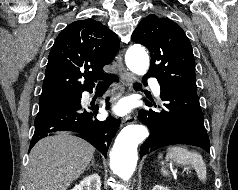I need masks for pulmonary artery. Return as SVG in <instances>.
Masks as SVG:
<instances>
[{
    "label": "pulmonary artery",
    "instance_id": "1",
    "mask_svg": "<svg viewBox=\"0 0 238 190\" xmlns=\"http://www.w3.org/2000/svg\"><path fill=\"white\" fill-rule=\"evenodd\" d=\"M150 84H151V86L153 88L154 94L156 96H159L160 93H161L159 84L155 80H150Z\"/></svg>",
    "mask_w": 238,
    "mask_h": 190
}]
</instances>
